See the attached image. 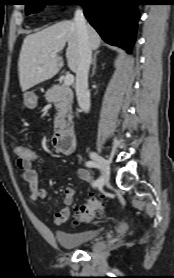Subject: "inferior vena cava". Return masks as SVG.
I'll return each instance as SVG.
<instances>
[{
    "instance_id": "obj_1",
    "label": "inferior vena cava",
    "mask_w": 174,
    "mask_h": 278,
    "mask_svg": "<svg viewBox=\"0 0 174 278\" xmlns=\"http://www.w3.org/2000/svg\"><path fill=\"white\" fill-rule=\"evenodd\" d=\"M74 24L78 35L79 63L76 70V96L79 107L84 112L90 110V92L88 90V74L92 62V49L89 43L88 26L81 9L74 15Z\"/></svg>"
}]
</instances>
